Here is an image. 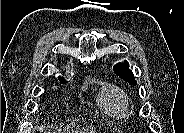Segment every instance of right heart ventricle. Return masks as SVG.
I'll return each instance as SVG.
<instances>
[{
	"label": "right heart ventricle",
	"instance_id": "1",
	"mask_svg": "<svg viewBox=\"0 0 184 133\" xmlns=\"http://www.w3.org/2000/svg\"><path fill=\"white\" fill-rule=\"evenodd\" d=\"M97 100L100 107L112 116L120 117L125 113L127 107L126 98L115 86L105 85Z\"/></svg>",
	"mask_w": 184,
	"mask_h": 133
}]
</instances>
